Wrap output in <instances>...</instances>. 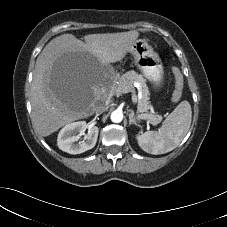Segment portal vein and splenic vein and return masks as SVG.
<instances>
[{
	"mask_svg": "<svg viewBox=\"0 0 227 227\" xmlns=\"http://www.w3.org/2000/svg\"><path fill=\"white\" fill-rule=\"evenodd\" d=\"M118 92L119 93H129V92H131L132 93V102L134 104L137 103L138 98H137V95L135 94V90L133 88H130V87H119L118 88ZM139 96H141V94H139Z\"/></svg>",
	"mask_w": 227,
	"mask_h": 227,
	"instance_id": "1",
	"label": "portal vein and splenic vein"
}]
</instances>
